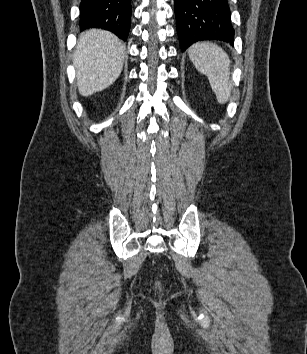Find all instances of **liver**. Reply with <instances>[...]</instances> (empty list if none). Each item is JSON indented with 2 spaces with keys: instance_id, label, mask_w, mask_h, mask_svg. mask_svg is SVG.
I'll return each instance as SVG.
<instances>
[{
  "instance_id": "6515ba94",
  "label": "liver",
  "mask_w": 307,
  "mask_h": 354,
  "mask_svg": "<svg viewBox=\"0 0 307 354\" xmlns=\"http://www.w3.org/2000/svg\"><path fill=\"white\" fill-rule=\"evenodd\" d=\"M125 54V45L109 31L82 33L73 57L79 93L87 97L112 85L122 71Z\"/></svg>"
}]
</instances>
